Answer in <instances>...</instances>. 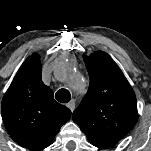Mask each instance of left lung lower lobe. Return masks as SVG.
Listing matches in <instances>:
<instances>
[{"mask_svg": "<svg viewBox=\"0 0 151 151\" xmlns=\"http://www.w3.org/2000/svg\"><path fill=\"white\" fill-rule=\"evenodd\" d=\"M116 143L117 141H111V140H97L91 142V144L99 148H110L114 146Z\"/></svg>", "mask_w": 151, "mask_h": 151, "instance_id": "left-lung-lower-lobe-1", "label": "left lung lower lobe"}]
</instances>
